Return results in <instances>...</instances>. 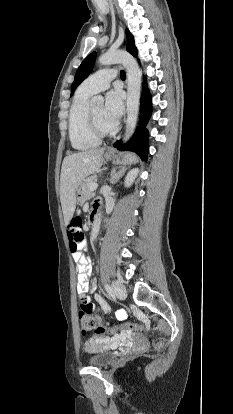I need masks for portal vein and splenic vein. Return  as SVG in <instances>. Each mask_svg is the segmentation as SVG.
<instances>
[{
    "label": "portal vein and splenic vein",
    "instance_id": "18ae733b",
    "mask_svg": "<svg viewBox=\"0 0 233 414\" xmlns=\"http://www.w3.org/2000/svg\"><path fill=\"white\" fill-rule=\"evenodd\" d=\"M97 187H98V184L96 183V182H94V183H91L90 184V189L93 191V190H96L97 189Z\"/></svg>",
    "mask_w": 233,
    "mask_h": 414
}]
</instances>
